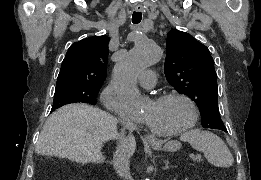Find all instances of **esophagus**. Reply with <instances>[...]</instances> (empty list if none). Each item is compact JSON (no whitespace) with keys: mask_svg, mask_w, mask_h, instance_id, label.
<instances>
[{"mask_svg":"<svg viewBox=\"0 0 261 180\" xmlns=\"http://www.w3.org/2000/svg\"><path fill=\"white\" fill-rule=\"evenodd\" d=\"M135 10L141 11L142 8L135 7ZM146 140H147L149 143H156V142H157V139H156V137H154V135H147V136H146Z\"/></svg>","mask_w":261,"mask_h":180,"instance_id":"1","label":"esophagus"}]
</instances>
